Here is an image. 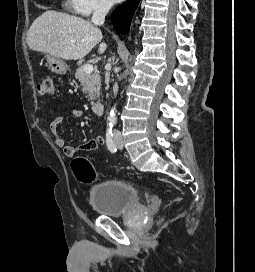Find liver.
Listing matches in <instances>:
<instances>
[{
    "label": "liver",
    "mask_w": 255,
    "mask_h": 272,
    "mask_svg": "<svg viewBox=\"0 0 255 272\" xmlns=\"http://www.w3.org/2000/svg\"><path fill=\"white\" fill-rule=\"evenodd\" d=\"M101 30L83 18L48 10L40 15L27 33L28 46L65 60L84 58L98 43L106 50Z\"/></svg>",
    "instance_id": "1"
}]
</instances>
